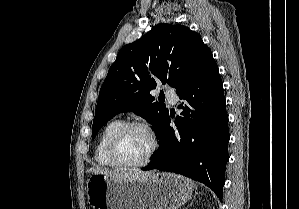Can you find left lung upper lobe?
<instances>
[{"instance_id":"left-lung-upper-lobe-1","label":"left lung upper lobe","mask_w":299,"mask_h":209,"mask_svg":"<svg viewBox=\"0 0 299 209\" xmlns=\"http://www.w3.org/2000/svg\"><path fill=\"white\" fill-rule=\"evenodd\" d=\"M212 57L201 37L183 25L158 24L124 46L100 89L92 138L114 115L127 111L146 119L156 134L169 113L150 91L159 81L179 89Z\"/></svg>"}]
</instances>
